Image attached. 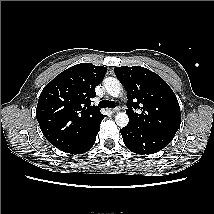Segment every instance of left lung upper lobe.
Here are the masks:
<instances>
[{"label":"left lung upper lobe","instance_id":"left-lung-upper-lobe-1","mask_svg":"<svg viewBox=\"0 0 214 214\" xmlns=\"http://www.w3.org/2000/svg\"><path fill=\"white\" fill-rule=\"evenodd\" d=\"M114 71L127 91L128 124L174 136L181 124V114L170 86L144 67H115Z\"/></svg>","mask_w":214,"mask_h":214}]
</instances>
